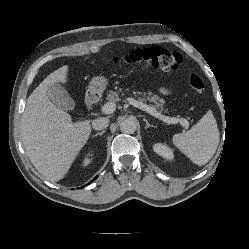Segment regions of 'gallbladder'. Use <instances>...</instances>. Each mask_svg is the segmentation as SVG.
I'll list each match as a JSON object with an SVG mask.
<instances>
[{
	"label": "gallbladder",
	"instance_id": "bac80fb5",
	"mask_svg": "<svg viewBox=\"0 0 249 249\" xmlns=\"http://www.w3.org/2000/svg\"><path fill=\"white\" fill-rule=\"evenodd\" d=\"M47 95L52 103L60 109L73 110L75 107L73 99L59 84H52L47 91Z\"/></svg>",
	"mask_w": 249,
	"mask_h": 249
}]
</instances>
